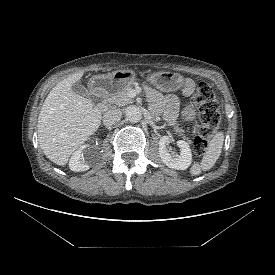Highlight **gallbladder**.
I'll return each mask as SVG.
<instances>
[{
    "mask_svg": "<svg viewBox=\"0 0 275 275\" xmlns=\"http://www.w3.org/2000/svg\"><path fill=\"white\" fill-rule=\"evenodd\" d=\"M73 93L80 96H88V90L81 84L75 83L71 87Z\"/></svg>",
    "mask_w": 275,
    "mask_h": 275,
    "instance_id": "gallbladder-1",
    "label": "gallbladder"
}]
</instances>
